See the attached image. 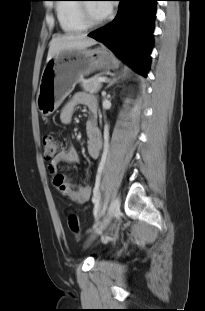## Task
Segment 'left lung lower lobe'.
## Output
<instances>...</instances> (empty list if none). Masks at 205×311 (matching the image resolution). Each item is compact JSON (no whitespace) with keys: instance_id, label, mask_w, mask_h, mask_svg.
Listing matches in <instances>:
<instances>
[{"instance_id":"0a47b994","label":"left lung lower lobe","mask_w":205,"mask_h":311,"mask_svg":"<svg viewBox=\"0 0 205 311\" xmlns=\"http://www.w3.org/2000/svg\"><path fill=\"white\" fill-rule=\"evenodd\" d=\"M116 18L89 34L115 54L131 63L143 76L149 66L155 2L158 0H119Z\"/></svg>"}]
</instances>
